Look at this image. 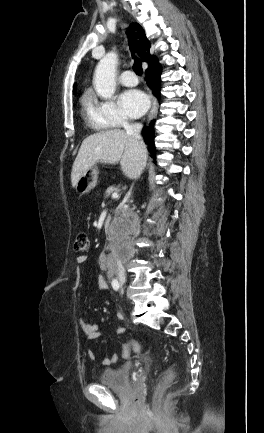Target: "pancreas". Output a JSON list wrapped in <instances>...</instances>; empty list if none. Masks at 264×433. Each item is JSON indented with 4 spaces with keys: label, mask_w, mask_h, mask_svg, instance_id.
I'll use <instances>...</instances> for the list:
<instances>
[{
    "label": "pancreas",
    "mask_w": 264,
    "mask_h": 433,
    "mask_svg": "<svg viewBox=\"0 0 264 433\" xmlns=\"http://www.w3.org/2000/svg\"><path fill=\"white\" fill-rule=\"evenodd\" d=\"M118 191H119L118 187L110 186L109 188H107L105 195H106V197H109L111 194L118 192Z\"/></svg>",
    "instance_id": "cf45deb5"
}]
</instances>
